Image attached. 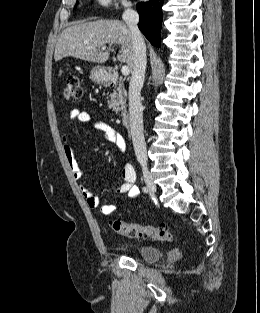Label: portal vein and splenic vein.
Returning <instances> with one entry per match:
<instances>
[{"mask_svg":"<svg viewBox=\"0 0 260 313\" xmlns=\"http://www.w3.org/2000/svg\"><path fill=\"white\" fill-rule=\"evenodd\" d=\"M102 49L105 50V49H106V46L102 47ZM121 72H122V75L126 76V75H129L130 69H129L128 66L124 65V66H122V68H121Z\"/></svg>","mask_w":260,"mask_h":313,"instance_id":"obj_1","label":"portal vein and splenic vein"}]
</instances>
